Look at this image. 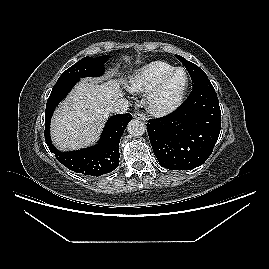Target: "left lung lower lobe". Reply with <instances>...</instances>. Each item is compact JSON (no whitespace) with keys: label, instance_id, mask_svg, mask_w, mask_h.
<instances>
[{"label":"left lung lower lobe","instance_id":"left-lung-lower-lobe-1","mask_svg":"<svg viewBox=\"0 0 269 269\" xmlns=\"http://www.w3.org/2000/svg\"><path fill=\"white\" fill-rule=\"evenodd\" d=\"M221 129V112L210 81L193 86L186 101L173 113L147 124L153 152L160 165L187 170L211 155Z\"/></svg>","mask_w":269,"mask_h":269}]
</instances>
